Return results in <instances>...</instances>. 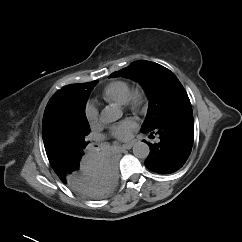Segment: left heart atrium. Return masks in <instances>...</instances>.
Here are the masks:
<instances>
[{"mask_svg": "<svg viewBox=\"0 0 242 242\" xmlns=\"http://www.w3.org/2000/svg\"><path fill=\"white\" fill-rule=\"evenodd\" d=\"M135 127L136 122L132 118H127L112 127L111 135L119 141H127Z\"/></svg>", "mask_w": 242, "mask_h": 242, "instance_id": "1", "label": "left heart atrium"}]
</instances>
